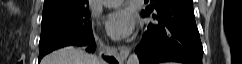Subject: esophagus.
<instances>
[{
    "instance_id": "34e87169",
    "label": "esophagus",
    "mask_w": 242,
    "mask_h": 64,
    "mask_svg": "<svg viewBox=\"0 0 242 64\" xmlns=\"http://www.w3.org/2000/svg\"><path fill=\"white\" fill-rule=\"evenodd\" d=\"M129 52H130V48L127 47V46H123L120 48V59L121 60H125L128 55H129Z\"/></svg>"
}]
</instances>
